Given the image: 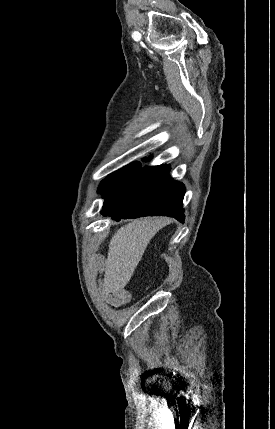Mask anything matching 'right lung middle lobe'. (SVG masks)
<instances>
[{"label": "right lung middle lobe", "instance_id": "right-lung-middle-lobe-1", "mask_svg": "<svg viewBox=\"0 0 275 429\" xmlns=\"http://www.w3.org/2000/svg\"><path fill=\"white\" fill-rule=\"evenodd\" d=\"M147 160L149 159H144V161ZM140 169L141 164L139 162H133L110 174L101 182L99 187V190L103 194V198H109L120 191L136 177Z\"/></svg>", "mask_w": 275, "mask_h": 429}]
</instances>
